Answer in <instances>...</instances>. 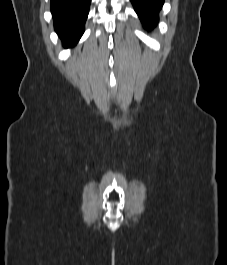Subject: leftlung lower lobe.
<instances>
[{
	"mask_svg": "<svg viewBox=\"0 0 227 265\" xmlns=\"http://www.w3.org/2000/svg\"><path fill=\"white\" fill-rule=\"evenodd\" d=\"M144 27L151 29L158 22V12L164 0H131Z\"/></svg>",
	"mask_w": 227,
	"mask_h": 265,
	"instance_id": "left-lung-lower-lobe-1",
	"label": "left lung lower lobe"
}]
</instances>
